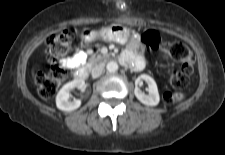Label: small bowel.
Returning a JSON list of instances; mask_svg holds the SVG:
<instances>
[{"mask_svg":"<svg viewBox=\"0 0 225 155\" xmlns=\"http://www.w3.org/2000/svg\"><path fill=\"white\" fill-rule=\"evenodd\" d=\"M143 47L144 43L142 39L137 36L133 37L121 55V60L125 63H130L137 70L142 69L145 66V61L140 55ZM87 55L88 53L86 51H79L73 56L66 58L64 63L69 67L79 66L86 60Z\"/></svg>","mask_w":225,"mask_h":155,"instance_id":"small-bowel-1","label":"small bowel"}]
</instances>
